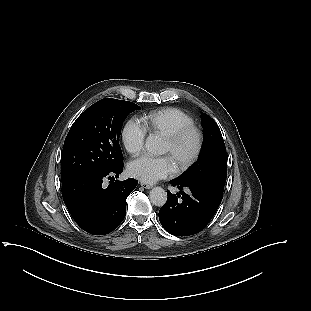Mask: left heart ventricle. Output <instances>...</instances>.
Returning a JSON list of instances; mask_svg holds the SVG:
<instances>
[{
  "label": "left heart ventricle",
  "instance_id": "obj_1",
  "mask_svg": "<svg viewBox=\"0 0 311 311\" xmlns=\"http://www.w3.org/2000/svg\"><path fill=\"white\" fill-rule=\"evenodd\" d=\"M193 143V137L187 136L172 150L169 144L164 141L161 153L168 154L172 162L176 164L180 159L185 157L191 151Z\"/></svg>",
  "mask_w": 311,
  "mask_h": 311
}]
</instances>
